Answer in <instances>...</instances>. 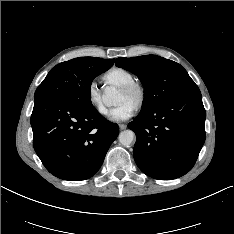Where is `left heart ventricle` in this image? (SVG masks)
<instances>
[{
  "label": "left heart ventricle",
  "mask_w": 234,
  "mask_h": 234,
  "mask_svg": "<svg viewBox=\"0 0 234 234\" xmlns=\"http://www.w3.org/2000/svg\"><path fill=\"white\" fill-rule=\"evenodd\" d=\"M123 102L129 103L130 105L134 106L135 98L133 96L126 95L119 91L115 103L120 104Z\"/></svg>",
  "instance_id": "obj_1"
}]
</instances>
